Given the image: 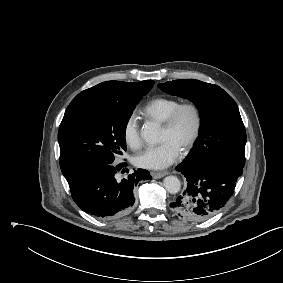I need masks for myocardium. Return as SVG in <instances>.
<instances>
[{
    "mask_svg": "<svg viewBox=\"0 0 283 283\" xmlns=\"http://www.w3.org/2000/svg\"><path fill=\"white\" fill-rule=\"evenodd\" d=\"M186 111H189L192 114L194 124L190 137L181 148L183 152L190 150L199 138L203 121L200 107L195 102L180 103L163 123L164 130L173 131L176 128L181 115Z\"/></svg>",
    "mask_w": 283,
    "mask_h": 283,
    "instance_id": "f54148a6",
    "label": "myocardium"
}]
</instances>
